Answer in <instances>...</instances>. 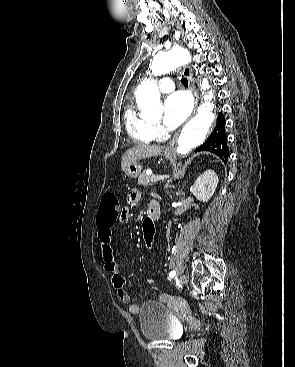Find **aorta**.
Here are the masks:
<instances>
[{
	"label": "aorta",
	"instance_id": "1",
	"mask_svg": "<svg viewBox=\"0 0 295 367\" xmlns=\"http://www.w3.org/2000/svg\"><path fill=\"white\" fill-rule=\"evenodd\" d=\"M190 59L189 53L183 48L156 54L152 61V72L155 76L173 71L186 64ZM210 88L208 81H202L201 89ZM213 93L210 90L205 96V102L198 108L197 114L182 129L177 140V152L186 154L204 142L214 121ZM136 103L143 118L160 117L162 115L160 94L153 82L141 84L136 91Z\"/></svg>",
	"mask_w": 295,
	"mask_h": 367
}]
</instances>
